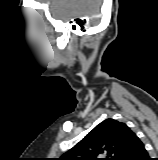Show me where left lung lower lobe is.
<instances>
[{
  "mask_svg": "<svg viewBox=\"0 0 158 160\" xmlns=\"http://www.w3.org/2000/svg\"><path fill=\"white\" fill-rule=\"evenodd\" d=\"M125 160H150L142 141L135 136Z\"/></svg>",
  "mask_w": 158,
  "mask_h": 160,
  "instance_id": "left-lung-lower-lobe-1",
  "label": "left lung lower lobe"
}]
</instances>
